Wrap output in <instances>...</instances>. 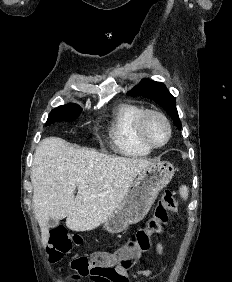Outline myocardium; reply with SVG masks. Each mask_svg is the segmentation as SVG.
Segmentation results:
<instances>
[{"label": "myocardium", "mask_w": 232, "mask_h": 282, "mask_svg": "<svg viewBox=\"0 0 232 282\" xmlns=\"http://www.w3.org/2000/svg\"><path fill=\"white\" fill-rule=\"evenodd\" d=\"M150 117H157L161 119L167 128V137L164 140V142L160 144L153 143L146 135V131H145L146 123ZM135 129H136V135H137L138 140L144 146L148 147L151 150L159 149V148L166 146L169 143L171 136H172V126H171L169 119L167 118V116L164 113L158 110H154V109H146L139 115L136 121Z\"/></svg>", "instance_id": "f54148a6"}]
</instances>
